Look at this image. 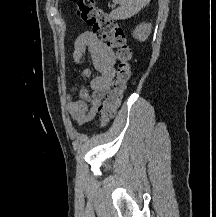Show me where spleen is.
Here are the masks:
<instances>
[{"label":"spleen","mask_w":216,"mask_h":217,"mask_svg":"<svg viewBox=\"0 0 216 217\" xmlns=\"http://www.w3.org/2000/svg\"><path fill=\"white\" fill-rule=\"evenodd\" d=\"M120 6L110 13L111 18L115 20H124L131 18L145 7L150 0H112Z\"/></svg>","instance_id":"spleen-1"}]
</instances>
